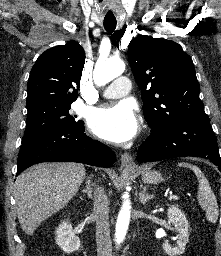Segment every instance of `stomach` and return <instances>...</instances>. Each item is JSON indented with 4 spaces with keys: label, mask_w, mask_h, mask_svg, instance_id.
Here are the masks:
<instances>
[{
    "label": "stomach",
    "mask_w": 221,
    "mask_h": 256,
    "mask_svg": "<svg viewBox=\"0 0 221 256\" xmlns=\"http://www.w3.org/2000/svg\"><path fill=\"white\" fill-rule=\"evenodd\" d=\"M133 173L141 175V179L146 184H158L163 180L162 175L155 170H150L146 166L131 169Z\"/></svg>",
    "instance_id": "obj_1"
}]
</instances>
